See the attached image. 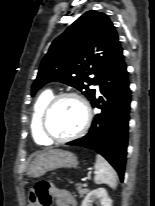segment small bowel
I'll list each match as a JSON object with an SVG mask.
<instances>
[{"instance_id":"small-bowel-1","label":"small bowel","mask_w":155,"mask_h":206,"mask_svg":"<svg viewBox=\"0 0 155 206\" xmlns=\"http://www.w3.org/2000/svg\"><path fill=\"white\" fill-rule=\"evenodd\" d=\"M55 201L57 206H75V199L73 195L65 189H57L55 191ZM32 206L40 205H38L35 202H32Z\"/></svg>"}]
</instances>
